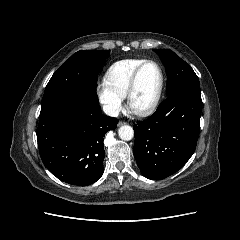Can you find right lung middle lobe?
I'll return each instance as SVG.
<instances>
[{
  "label": "right lung middle lobe",
  "instance_id": "obj_1",
  "mask_svg": "<svg viewBox=\"0 0 240 240\" xmlns=\"http://www.w3.org/2000/svg\"><path fill=\"white\" fill-rule=\"evenodd\" d=\"M109 53V50H81L73 54L51 77L41 104L64 97L97 99V76Z\"/></svg>",
  "mask_w": 240,
  "mask_h": 240
}]
</instances>
